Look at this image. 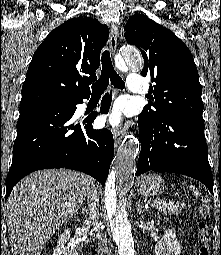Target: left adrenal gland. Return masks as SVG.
<instances>
[{"label":"left adrenal gland","instance_id":"left-adrenal-gland-1","mask_svg":"<svg viewBox=\"0 0 221 255\" xmlns=\"http://www.w3.org/2000/svg\"><path fill=\"white\" fill-rule=\"evenodd\" d=\"M136 210L138 214H142L145 211V209L142 206H140V204H137Z\"/></svg>","mask_w":221,"mask_h":255}]
</instances>
